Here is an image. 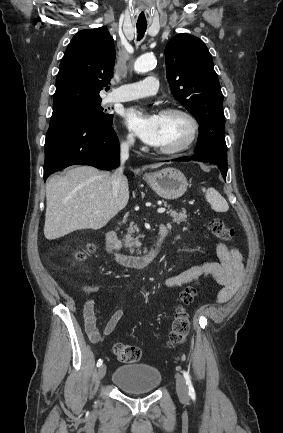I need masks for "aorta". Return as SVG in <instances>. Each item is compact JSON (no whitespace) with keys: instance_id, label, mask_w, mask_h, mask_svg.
<instances>
[{"instance_id":"aorta-1","label":"aorta","mask_w":283,"mask_h":433,"mask_svg":"<svg viewBox=\"0 0 283 433\" xmlns=\"http://www.w3.org/2000/svg\"><path fill=\"white\" fill-rule=\"evenodd\" d=\"M156 63L157 61L153 54H143L135 61L134 70L137 73H146L149 70H152Z\"/></svg>"}]
</instances>
